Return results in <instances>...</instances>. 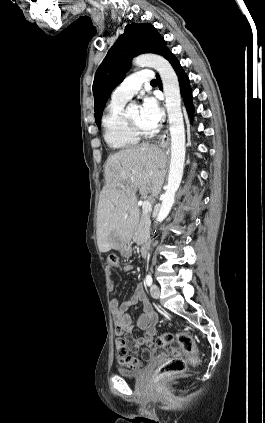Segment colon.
Instances as JSON below:
<instances>
[{"instance_id":"5ec220e1","label":"colon","mask_w":265,"mask_h":423,"mask_svg":"<svg viewBox=\"0 0 265 423\" xmlns=\"http://www.w3.org/2000/svg\"><path fill=\"white\" fill-rule=\"evenodd\" d=\"M108 263L111 267H118L119 257L116 254L111 253L108 256ZM174 341L176 343L174 348L181 349L187 353V357H172L160 365L155 373L157 380H161L174 374L183 373L186 371L189 363H196L198 361V354L195 349L194 341L186 332L179 331L175 334L164 332L158 336L157 345L159 347H164L171 345ZM117 352L124 365L131 368L139 367V361L128 355V349L124 342L118 345Z\"/></svg>"}]
</instances>
